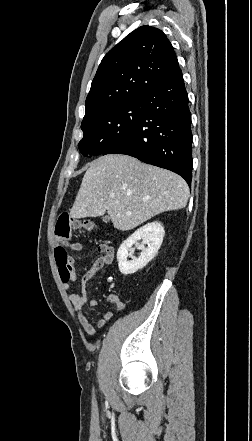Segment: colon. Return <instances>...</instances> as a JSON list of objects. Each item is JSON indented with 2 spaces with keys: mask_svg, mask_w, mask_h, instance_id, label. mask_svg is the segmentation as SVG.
<instances>
[{
  "mask_svg": "<svg viewBox=\"0 0 252 441\" xmlns=\"http://www.w3.org/2000/svg\"><path fill=\"white\" fill-rule=\"evenodd\" d=\"M78 223L74 222L68 214H62L55 226V258L57 264L65 275L69 274V254L67 251V240L71 237V232ZM90 227L89 223L85 224Z\"/></svg>",
  "mask_w": 252,
  "mask_h": 441,
  "instance_id": "5ec220e1",
  "label": "colon"
}]
</instances>
